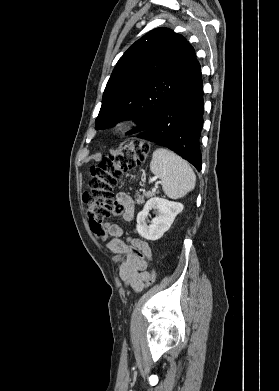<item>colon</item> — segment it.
Here are the masks:
<instances>
[{
	"mask_svg": "<svg viewBox=\"0 0 279 391\" xmlns=\"http://www.w3.org/2000/svg\"><path fill=\"white\" fill-rule=\"evenodd\" d=\"M149 153V145L140 140H131L122 149L104 158L98 166L92 167L89 179V191L83 196L86 212L92 232L101 239H107L108 234L103 228L106 219L120 215L123 208L114 200L113 189L123 173L136 165L143 163ZM140 257L144 255L134 250ZM155 272L151 270L146 286L155 282Z\"/></svg>",
	"mask_w": 279,
	"mask_h": 391,
	"instance_id": "colon-1",
	"label": "colon"
}]
</instances>
